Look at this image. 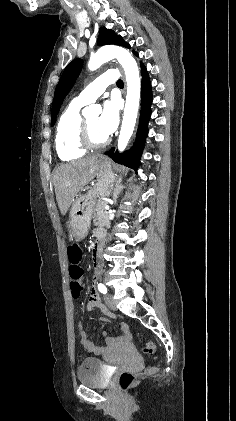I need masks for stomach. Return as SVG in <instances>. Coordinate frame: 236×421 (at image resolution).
<instances>
[{
  "mask_svg": "<svg viewBox=\"0 0 236 421\" xmlns=\"http://www.w3.org/2000/svg\"><path fill=\"white\" fill-rule=\"evenodd\" d=\"M97 182L87 194L74 198L70 208L68 229L71 239L82 241L89 233L91 221L95 215L96 196H109L114 188L116 176L105 156L98 160Z\"/></svg>",
  "mask_w": 236,
  "mask_h": 421,
  "instance_id": "1",
  "label": "stomach"
}]
</instances>
